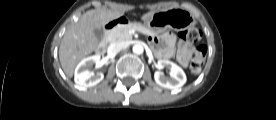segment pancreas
<instances>
[{"label":"pancreas","instance_id":"1","mask_svg":"<svg viewBox=\"0 0 276 120\" xmlns=\"http://www.w3.org/2000/svg\"><path fill=\"white\" fill-rule=\"evenodd\" d=\"M131 29H134L136 31H139L145 35H153V32L150 31L145 26L139 24V23H129L127 25H120L114 28L109 33V42H118V41H127L132 38V35L129 34V31Z\"/></svg>","mask_w":276,"mask_h":120}]
</instances>
